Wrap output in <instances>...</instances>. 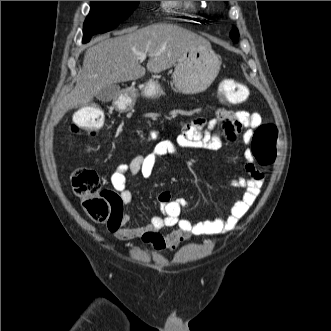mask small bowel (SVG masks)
<instances>
[{"label": "small bowel", "instance_id": "obj_1", "mask_svg": "<svg viewBox=\"0 0 331 331\" xmlns=\"http://www.w3.org/2000/svg\"><path fill=\"white\" fill-rule=\"evenodd\" d=\"M261 122L262 118L258 113L243 110L230 111L224 108L217 109L215 116L209 120L197 117L184 122L181 124V134L176 142L159 141L147 155H138L128 163L118 164L111 175V185L118 193L122 204H129L132 201V193L127 186L128 176L140 173L143 177L149 178L159 158L167 155L181 158L182 149L218 150L222 146L223 138L232 142L243 128L245 129L243 140L249 143L254 129ZM244 157L248 177H237L231 180L232 187L242 189L244 192L226 217L199 222L182 219L180 215L182 210L187 208V201L185 199L172 200L170 193L163 191L158 194L163 217L154 216L145 225L130 227L128 226L130 217L125 214L121 217L118 226L112 229L114 236L122 241L139 239L152 246L157 252H161L175 250L192 236H213L232 230L254 204L264 181V175L255 166L254 156L250 149L245 151ZM165 227H175V229L165 235L160 234L159 231Z\"/></svg>", "mask_w": 331, "mask_h": 331}]
</instances>
